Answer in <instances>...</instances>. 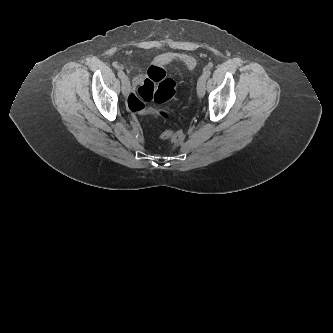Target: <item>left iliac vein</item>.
<instances>
[{"mask_svg": "<svg viewBox=\"0 0 333 333\" xmlns=\"http://www.w3.org/2000/svg\"><path fill=\"white\" fill-rule=\"evenodd\" d=\"M205 80L204 79H200L199 82H198V86H197V93H198V96L200 98H202L205 94Z\"/></svg>", "mask_w": 333, "mask_h": 333, "instance_id": "obj_1", "label": "left iliac vein"}]
</instances>
